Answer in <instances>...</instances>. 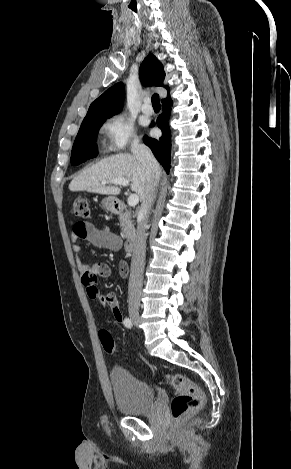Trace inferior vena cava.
I'll return each mask as SVG.
<instances>
[{
    "instance_id": "602c4592",
    "label": "inferior vena cava",
    "mask_w": 291,
    "mask_h": 469,
    "mask_svg": "<svg viewBox=\"0 0 291 469\" xmlns=\"http://www.w3.org/2000/svg\"><path fill=\"white\" fill-rule=\"evenodd\" d=\"M132 154L139 160L146 170L150 187L147 190L139 211V221L137 225L134 250L131 261V270L128 284V304L129 306L140 305V297L143 282V271L145 266L146 253V226L148 214L156 198V190L159 183V165L151 150L136 139L131 147Z\"/></svg>"
}]
</instances>
